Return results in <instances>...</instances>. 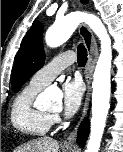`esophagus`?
Here are the masks:
<instances>
[{"label": "esophagus", "instance_id": "34e87169", "mask_svg": "<svg viewBox=\"0 0 123 152\" xmlns=\"http://www.w3.org/2000/svg\"><path fill=\"white\" fill-rule=\"evenodd\" d=\"M79 33L84 41L88 54L87 64L85 68V81L87 84V89H86L80 121L71 131V133L67 136V138L64 139L63 145L65 147H74L76 145V138H77L79 125L87 115L89 101H90V94H91L92 75L98 58L97 43L90 29L85 24H81L79 26Z\"/></svg>", "mask_w": 123, "mask_h": 152}]
</instances>
